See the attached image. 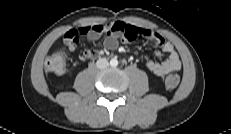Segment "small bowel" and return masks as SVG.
<instances>
[{"instance_id":"1","label":"small bowel","mask_w":231,"mask_h":134,"mask_svg":"<svg viewBox=\"0 0 231 134\" xmlns=\"http://www.w3.org/2000/svg\"><path fill=\"white\" fill-rule=\"evenodd\" d=\"M102 35H105L103 44L107 50L116 49L119 40L122 42H131L138 38L145 37L153 41L158 46V50L155 53L157 57H160L162 53L168 55V58L163 62H157L152 59L145 61L146 67L157 76H164L170 72L181 69L182 64L180 57L169 41H166L160 34L154 31L142 29L121 21L71 29L65 34L64 43L70 51H74L77 48L80 38L94 41ZM101 53L100 50L96 49L85 50L80 54V59L82 61L94 59L100 56Z\"/></svg>"}]
</instances>
